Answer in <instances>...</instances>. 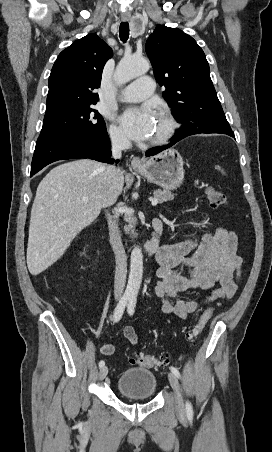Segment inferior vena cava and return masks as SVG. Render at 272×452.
Here are the masks:
<instances>
[{
	"instance_id": "inferior-vena-cava-1",
	"label": "inferior vena cava",
	"mask_w": 272,
	"mask_h": 452,
	"mask_svg": "<svg viewBox=\"0 0 272 452\" xmlns=\"http://www.w3.org/2000/svg\"><path fill=\"white\" fill-rule=\"evenodd\" d=\"M111 146H112V157L114 159L121 158L122 151L125 149H129L131 147V142L128 138H126L122 133L114 132L111 134ZM119 175V169L114 165H109L106 167L105 178L107 183L106 197L111 198V200L115 199L112 197V193L109 190L111 185L116 180ZM108 216V227H109V235H110V243L112 245L114 254H115V278H114V296L116 299H120L124 292L125 284H126V275H127V256L125 254V250L122 244L120 231L118 228V224L116 221Z\"/></svg>"
}]
</instances>
